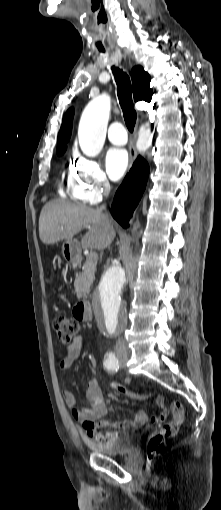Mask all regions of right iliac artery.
<instances>
[{
	"mask_svg": "<svg viewBox=\"0 0 221 510\" xmlns=\"http://www.w3.org/2000/svg\"><path fill=\"white\" fill-rule=\"evenodd\" d=\"M104 366L108 371L117 372L119 369V361L116 358L115 354L110 352L106 355L104 360Z\"/></svg>",
	"mask_w": 221,
	"mask_h": 510,
	"instance_id": "obj_1",
	"label": "right iliac artery"
}]
</instances>
